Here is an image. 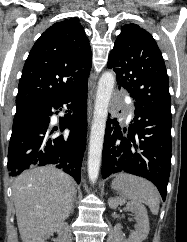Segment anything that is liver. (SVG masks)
I'll list each match as a JSON object with an SVG mask.
<instances>
[{"mask_svg":"<svg viewBox=\"0 0 187 242\" xmlns=\"http://www.w3.org/2000/svg\"><path fill=\"white\" fill-rule=\"evenodd\" d=\"M75 192L72 178L52 165L19 175L13 197L22 242H38L65 221Z\"/></svg>","mask_w":187,"mask_h":242,"instance_id":"1","label":"liver"}]
</instances>
